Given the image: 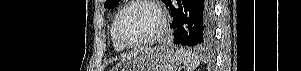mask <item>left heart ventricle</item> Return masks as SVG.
Here are the masks:
<instances>
[{
	"label": "left heart ventricle",
	"mask_w": 301,
	"mask_h": 71,
	"mask_svg": "<svg viewBox=\"0 0 301 71\" xmlns=\"http://www.w3.org/2000/svg\"><path fill=\"white\" fill-rule=\"evenodd\" d=\"M159 24V17L152 8L134 5L122 17L121 33L126 41L137 42L154 34Z\"/></svg>",
	"instance_id": "1"
}]
</instances>
